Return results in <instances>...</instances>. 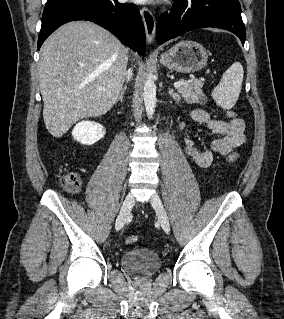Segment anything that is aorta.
Segmentation results:
<instances>
[{
	"instance_id": "aorta-1",
	"label": "aorta",
	"mask_w": 284,
	"mask_h": 319,
	"mask_svg": "<svg viewBox=\"0 0 284 319\" xmlns=\"http://www.w3.org/2000/svg\"><path fill=\"white\" fill-rule=\"evenodd\" d=\"M144 105L146 109V114L149 119L153 118V114L156 108V85L153 80V75L148 74L146 81L144 83L143 92Z\"/></svg>"
}]
</instances>
